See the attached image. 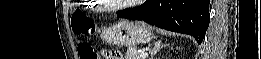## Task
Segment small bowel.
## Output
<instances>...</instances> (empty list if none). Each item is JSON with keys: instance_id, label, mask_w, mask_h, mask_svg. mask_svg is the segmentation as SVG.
I'll list each match as a JSON object with an SVG mask.
<instances>
[{"instance_id": "1", "label": "small bowel", "mask_w": 261, "mask_h": 59, "mask_svg": "<svg viewBox=\"0 0 261 59\" xmlns=\"http://www.w3.org/2000/svg\"><path fill=\"white\" fill-rule=\"evenodd\" d=\"M112 54L115 55V58L114 59H121V55L117 52H111Z\"/></svg>"}]
</instances>
